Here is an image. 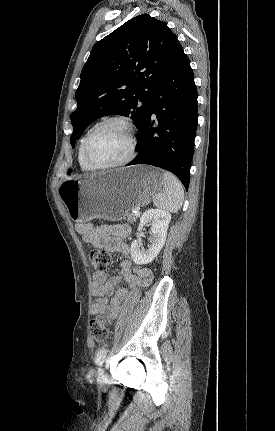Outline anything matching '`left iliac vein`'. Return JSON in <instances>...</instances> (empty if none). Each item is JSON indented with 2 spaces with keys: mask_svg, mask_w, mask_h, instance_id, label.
I'll use <instances>...</instances> for the list:
<instances>
[{
  "mask_svg": "<svg viewBox=\"0 0 275 431\" xmlns=\"http://www.w3.org/2000/svg\"><path fill=\"white\" fill-rule=\"evenodd\" d=\"M97 380L100 384L105 383L106 380V376H105V371L103 368H100L97 372Z\"/></svg>",
  "mask_w": 275,
  "mask_h": 431,
  "instance_id": "obj_1",
  "label": "left iliac vein"
}]
</instances>
